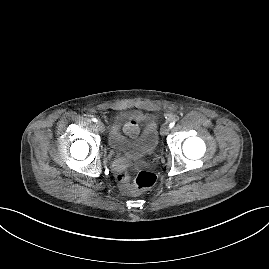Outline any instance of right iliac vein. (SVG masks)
Returning a JSON list of instances; mask_svg holds the SVG:
<instances>
[{"label":"right iliac vein","instance_id":"right-iliac-vein-1","mask_svg":"<svg viewBox=\"0 0 269 269\" xmlns=\"http://www.w3.org/2000/svg\"><path fill=\"white\" fill-rule=\"evenodd\" d=\"M96 125H97V128H98L101 132L104 131L105 127H104V124H103L102 122L99 121V122L96 123Z\"/></svg>","mask_w":269,"mask_h":269}]
</instances>
